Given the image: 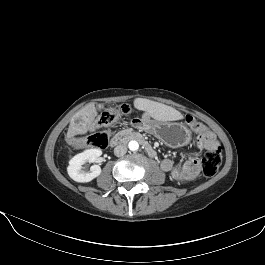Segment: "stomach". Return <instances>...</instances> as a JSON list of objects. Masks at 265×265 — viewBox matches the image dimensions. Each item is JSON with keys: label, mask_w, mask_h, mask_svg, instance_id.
Listing matches in <instances>:
<instances>
[{"label": "stomach", "mask_w": 265, "mask_h": 265, "mask_svg": "<svg viewBox=\"0 0 265 265\" xmlns=\"http://www.w3.org/2000/svg\"><path fill=\"white\" fill-rule=\"evenodd\" d=\"M141 126L170 147H181L191 140V132L181 123L142 119Z\"/></svg>", "instance_id": "stomach-1"}]
</instances>
